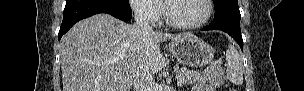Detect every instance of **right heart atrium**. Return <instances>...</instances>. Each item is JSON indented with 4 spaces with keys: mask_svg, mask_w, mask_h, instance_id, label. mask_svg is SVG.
<instances>
[{
    "mask_svg": "<svg viewBox=\"0 0 304 91\" xmlns=\"http://www.w3.org/2000/svg\"><path fill=\"white\" fill-rule=\"evenodd\" d=\"M135 13L143 20L156 23L160 21L161 10L154 0H132Z\"/></svg>",
    "mask_w": 304,
    "mask_h": 91,
    "instance_id": "obj_1",
    "label": "right heart atrium"
}]
</instances>
